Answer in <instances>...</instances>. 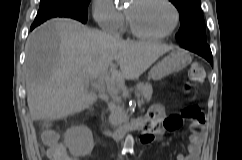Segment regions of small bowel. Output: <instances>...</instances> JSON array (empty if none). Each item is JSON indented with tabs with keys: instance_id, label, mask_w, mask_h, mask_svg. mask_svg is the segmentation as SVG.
Masks as SVG:
<instances>
[{
	"instance_id": "1",
	"label": "small bowel",
	"mask_w": 242,
	"mask_h": 160,
	"mask_svg": "<svg viewBox=\"0 0 242 160\" xmlns=\"http://www.w3.org/2000/svg\"><path fill=\"white\" fill-rule=\"evenodd\" d=\"M144 118L147 119V122L142 129L140 137L141 142L144 144H150L157 140V133L154 128L160 121L163 122V129L166 131H177L183 124L182 119L178 115L162 119V113L159 111ZM203 130L204 128L201 123L193 126L187 146V154H179L177 160H199L203 142ZM66 160L75 159L67 155Z\"/></svg>"
}]
</instances>
